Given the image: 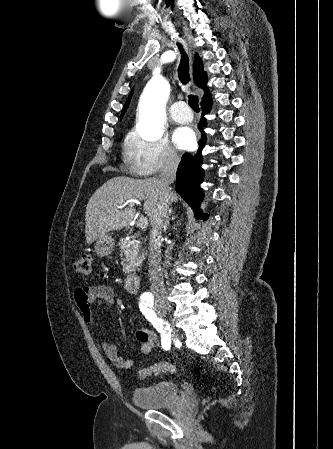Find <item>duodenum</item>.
Masks as SVG:
<instances>
[{"label": "duodenum", "mask_w": 333, "mask_h": 449, "mask_svg": "<svg viewBox=\"0 0 333 449\" xmlns=\"http://www.w3.org/2000/svg\"><path fill=\"white\" fill-rule=\"evenodd\" d=\"M140 288V276L137 272H130L124 280V289L129 293H136Z\"/></svg>", "instance_id": "obj_1"}]
</instances>
